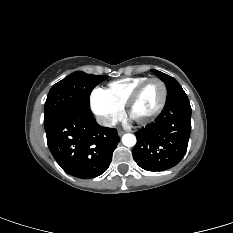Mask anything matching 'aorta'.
Instances as JSON below:
<instances>
[{
    "label": "aorta",
    "mask_w": 233,
    "mask_h": 233,
    "mask_svg": "<svg viewBox=\"0 0 233 233\" xmlns=\"http://www.w3.org/2000/svg\"><path fill=\"white\" fill-rule=\"evenodd\" d=\"M122 143L127 147H133L136 144V137L130 133L124 134L122 136Z\"/></svg>",
    "instance_id": "762f6f07"
}]
</instances>
